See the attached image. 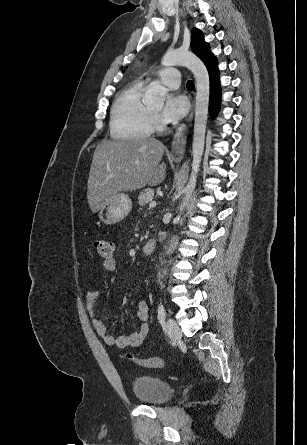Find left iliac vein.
Segmentation results:
<instances>
[{
	"instance_id": "left-iliac-vein-1",
	"label": "left iliac vein",
	"mask_w": 307,
	"mask_h": 445,
	"mask_svg": "<svg viewBox=\"0 0 307 445\" xmlns=\"http://www.w3.org/2000/svg\"><path fill=\"white\" fill-rule=\"evenodd\" d=\"M167 334L172 339H177L182 336V331L178 324L171 318H168L165 324Z\"/></svg>"
}]
</instances>
